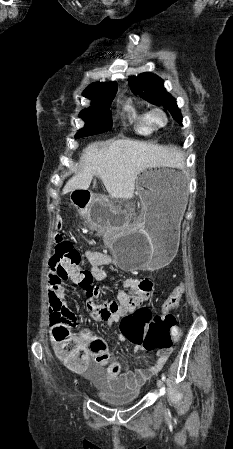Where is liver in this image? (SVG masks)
Here are the masks:
<instances>
[{"instance_id": "obj_1", "label": "liver", "mask_w": 233, "mask_h": 449, "mask_svg": "<svg viewBox=\"0 0 233 449\" xmlns=\"http://www.w3.org/2000/svg\"><path fill=\"white\" fill-rule=\"evenodd\" d=\"M174 156L172 147L133 140H108L88 145L80 158L78 173L63 193L87 190L99 175L107 192L117 199H130L138 175L145 169L166 165Z\"/></svg>"}]
</instances>
